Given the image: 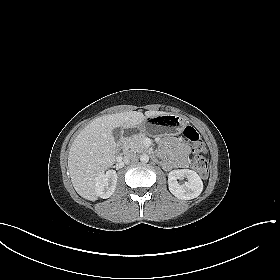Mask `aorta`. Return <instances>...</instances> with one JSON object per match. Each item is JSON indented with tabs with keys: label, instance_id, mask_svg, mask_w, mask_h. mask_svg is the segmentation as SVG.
<instances>
[{
	"label": "aorta",
	"instance_id": "762f6f07",
	"mask_svg": "<svg viewBox=\"0 0 280 280\" xmlns=\"http://www.w3.org/2000/svg\"><path fill=\"white\" fill-rule=\"evenodd\" d=\"M140 161L142 163H147L149 161V156L147 154L140 155Z\"/></svg>",
	"mask_w": 280,
	"mask_h": 280
}]
</instances>
